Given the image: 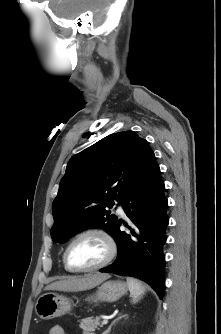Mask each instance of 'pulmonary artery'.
<instances>
[{
	"label": "pulmonary artery",
	"mask_w": 221,
	"mask_h": 334,
	"mask_svg": "<svg viewBox=\"0 0 221 334\" xmlns=\"http://www.w3.org/2000/svg\"><path fill=\"white\" fill-rule=\"evenodd\" d=\"M116 211L121 216H123L125 214L124 209H123V207L120 203H116Z\"/></svg>",
	"instance_id": "1"
}]
</instances>
